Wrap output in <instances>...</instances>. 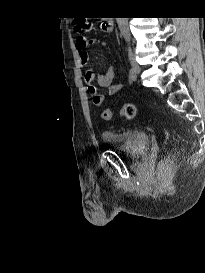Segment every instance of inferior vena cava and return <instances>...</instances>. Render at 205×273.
<instances>
[{"mask_svg":"<svg viewBox=\"0 0 205 273\" xmlns=\"http://www.w3.org/2000/svg\"><path fill=\"white\" fill-rule=\"evenodd\" d=\"M118 27L121 35L125 38L127 42H130V33L128 27V19L127 18H117Z\"/></svg>","mask_w":205,"mask_h":273,"instance_id":"obj_1","label":"inferior vena cava"}]
</instances>
